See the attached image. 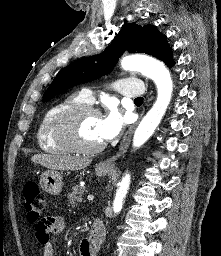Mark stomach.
Returning <instances> with one entry per match:
<instances>
[{
	"label": "stomach",
	"mask_w": 221,
	"mask_h": 256,
	"mask_svg": "<svg viewBox=\"0 0 221 256\" xmlns=\"http://www.w3.org/2000/svg\"><path fill=\"white\" fill-rule=\"evenodd\" d=\"M113 169L97 166L95 172L99 177L111 173ZM40 187L51 195H58L62 190V176L58 171L48 170L40 176Z\"/></svg>",
	"instance_id": "1"
}]
</instances>
